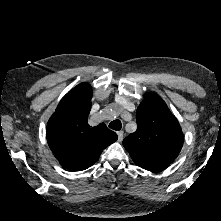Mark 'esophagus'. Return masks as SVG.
I'll use <instances>...</instances> for the list:
<instances>
[{
    "mask_svg": "<svg viewBox=\"0 0 221 221\" xmlns=\"http://www.w3.org/2000/svg\"><path fill=\"white\" fill-rule=\"evenodd\" d=\"M117 135H118V141L121 142L123 140L124 132L123 131H118Z\"/></svg>",
    "mask_w": 221,
    "mask_h": 221,
    "instance_id": "esophagus-1",
    "label": "esophagus"
}]
</instances>
